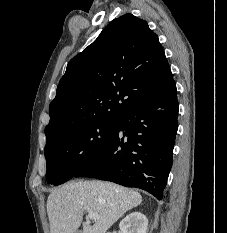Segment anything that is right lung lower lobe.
I'll list each match as a JSON object with an SVG mask.
<instances>
[{"label":"right lung lower lobe","instance_id":"obj_1","mask_svg":"<svg viewBox=\"0 0 227 233\" xmlns=\"http://www.w3.org/2000/svg\"><path fill=\"white\" fill-rule=\"evenodd\" d=\"M177 116L173 81L125 113L112 137L74 177H92L140 188L161 200L172 166Z\"/></svg>","mask_w":227,"mask_h":233}]
</instances>
